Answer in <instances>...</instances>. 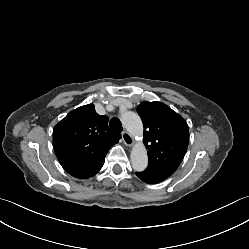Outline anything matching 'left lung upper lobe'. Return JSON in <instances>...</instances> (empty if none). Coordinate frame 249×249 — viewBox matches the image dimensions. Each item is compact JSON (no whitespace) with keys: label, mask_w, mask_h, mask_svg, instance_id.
I'll return each mask as SVG.
<instances>
[{"label":"left lung upper lobe","mask_w":249,"mask_h":249,"mask_svg":"<svg viewBox=\"0 0 249 249\" xmlns=\"http://www.w3.org/2000/svg\"><path fill=\"white\" fill-rule=\"evenodd\" d=\"M144 126V144L148 149L146 170L165 177L182 162L189 143L186 121L161 102H142L137 107Z\"/></svg>","instance_id":"1"}]
</instances>
